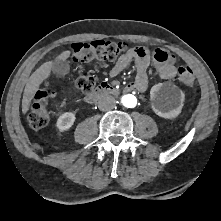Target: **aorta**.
<instances>
[{"label": "aorta", "mask_w": 221, "mask_h": 221, "mask_svg": "<svg viewBox=\"0 0 221 221\" xmlns=\"http://www.w3.org/2000/svg\"><path fill=\"white\" fill-rule=\"evenodd\" d=\"M122 103L125 107L134 108L137 105V99L132 94L122 96Z\"/></svg>", "instance_id": "aorta-1"}]
</instances>
